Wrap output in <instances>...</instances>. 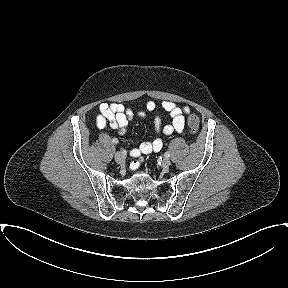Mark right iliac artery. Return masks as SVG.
Listing matches in <instances>:
<instances>
[{"label": "right iliac artery", "mask_w": 288, "mask_h": 288, "mask_svg": "<svg viewBox=\"0 0 288 288\" xmlns=\"http://www.w3.org/2000/svg\"><path fill=\"white\" fill-rule=\"evenodd\" d=\"M112 142H113V144H117V143H118V139L114 138V139L112 140Z\"/></svg>", "instance_id": "right-iliac-artery-1"}]
</instances>
